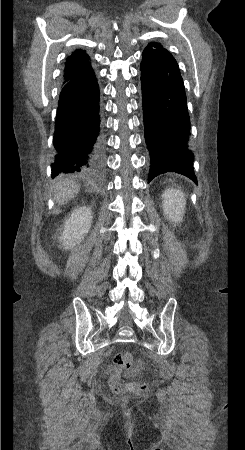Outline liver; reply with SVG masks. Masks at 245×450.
Instances as JSON below:
<instances>
[{"mask_svg":"<svg viewBox=\"0 0 245 450\" xmlns=\"http://www.w3.org/2000/svg\"><path fill=\"white\" fill-rule=\"evenodd\" d=\"M80 186L71 179L60 180L54 188V198L59 205H64L79 192Z\"/></svg>","mask_w":245,"mask_h":450,"instance_id":"obj_1","label":"liver"}]
</instances>
